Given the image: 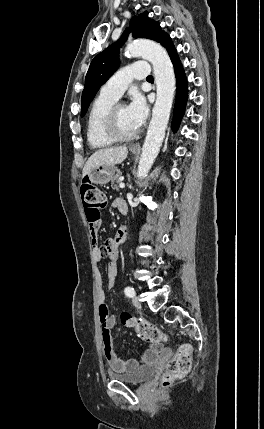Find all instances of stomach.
<instances>
[{
  "instance_id": "0dacf381",
  "label": "stomach",
  "mask_w": 264,
  "mask_h": 429,
  "mask_svg": "<svg viewBox=\"0 0 264 429\" xmlns=\"http://www.w3.org/2000/svg\"><path fill=\"white\" fill-rule=\"evenodd\" d=\"M131 152L136 154L134 150H131ZM116 171L117 167L115 165H100L92 169L83 178L91 183L102 185L108 183L115 176Z\"/></svg>"
}]
</instances>
